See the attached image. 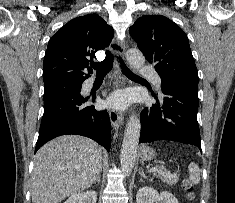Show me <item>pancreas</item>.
<instances>
[{
  "label": "pancreas",
  "instance_id": "cf45deb5",
  "mask_svg": "<svg viewBox=\"0 0 235 203\" xmlns=\"http://www.w3.org/2000/svg\"><path fill=\"white\" fill-rule=\"evenodd\" d=\"M160 176H162V181L167 183L168 185H174L177 183L178 181V176H171V177H168V176H165L163 173L159 172Z\"/></svg>",
  "mask_w": 235,
  "mask_h": 203
}]
</instances>
